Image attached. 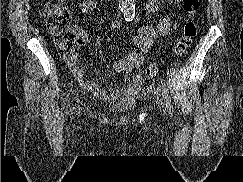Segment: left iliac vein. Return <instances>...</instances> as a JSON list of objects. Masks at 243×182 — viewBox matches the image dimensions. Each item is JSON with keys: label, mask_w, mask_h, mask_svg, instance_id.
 I'll return each mask as SVG.
<instances>
[{"label": "left iliac vein", "mask_w": 243, "mask_h": 182, "mask_svg": "<svg viewBox=\"0 0 243 182\" xmlns=\"http://www.w3.org/2000/svg\"><path fill=\"white\" fill-rule=\"evenodd\" d=\"M161 104H162V106L164 107V105H165L164 102H162Z\"/></svg>", "instance_id": "obj_1"}]
</instances>
